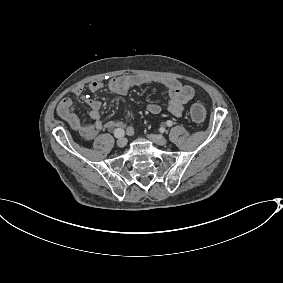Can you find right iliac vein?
Segmentation results:
<instances>
[{
    "mask_svg": "<svg viewBox=\"0 0 283 283\" xmlns=\"http://www.w3.org/2000/svg\"><path fill=\"white\" fill-rule=\"evenodd\" d=\"M126 144H127V140L125 138L121 137L117 140V146L120 148L125 147Z\"/></svg>",
    "mask_w": 283,
    "mask_h": 283,
    "instance_id": "right-iliac-vein-1",
    "label": "right iliac vein"
}]
</instances>
